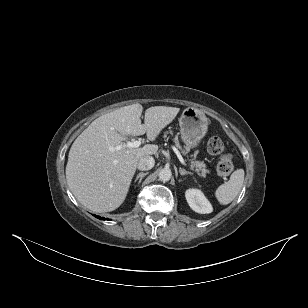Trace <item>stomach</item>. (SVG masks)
I'll list each match as a JSON object with an SVG mask.
<instances>
[{"label": "stomach", "instance_id": "1", "mask_svg": "<svg viewBox=\"0 0 308 308\" xmlns=\"http://www.w3.org/2000/svg\"><path fill=\"white\" fill-rule=\"evenodd\" d=\"M179 126L183 142L187 147L195 148L207 132L208 118L202 111L188 107L179 118Z\"/></svg>", "mask_w": 308, "mask_h": 308}]
</instances>
